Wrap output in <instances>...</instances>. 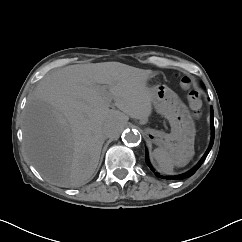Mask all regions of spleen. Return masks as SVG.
Wrapping results in <instances>:
<instances>
[{
    "label": "spleen",
    "mask_w": 242,
    "mask_h": 242,
    "mask_svg": "<svg viewBox=\"0 0 242 242\" xmlns=\"http://www.w3.org/2000/svg\"><path fill=\"white\" fill-rule=\"evenodd\" d=\"M153 156L159 165L160 171L163 173H170L174 166H185L190 160H182L180 152L167 151L162 148L154 149Z\"/></svg>",
    "instance_id": "1"
}]
</instances>
